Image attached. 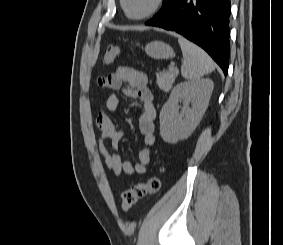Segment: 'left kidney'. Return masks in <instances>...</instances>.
Returning <instances> with one entry per match:
<instances>
[{
  "label": "left kidney",
  "instance_id": "obj_1",
  "mask_svg": "<svg viewBox=\"0 0 283 245\" xmlns=\"http://www.w3.org/2000/svg\"><path fill=\"white\" fill-rule=\"evenodd\" d=\"M213 88L211 79L183 82L173 88L160 112V135L165 142L175 144L192 134L208 107Z\"/></svg>",
  "mask_w": 283,
  "mask_h": 245
}]
</instances>
